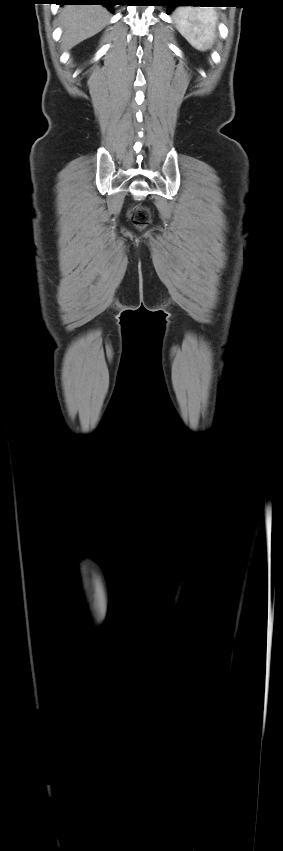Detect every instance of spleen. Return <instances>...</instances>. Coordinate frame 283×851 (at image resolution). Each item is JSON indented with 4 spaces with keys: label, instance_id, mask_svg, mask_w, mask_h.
<instances>
[{
    "label": "spleen",
    "instance_id": "1",
    "mask_svg": "<svg viewBox=\"0 0 283 851\" xmlns=\"http://www.w3.org/2000/svg\"><path fill=\"white\" fill-rule=\"evenodd\" d=\"M176 27L197 50L207 51L214 43L218 16L213 8L180 7L174 12Z\"/></svg>",
    "mask_w": 283,
    "mask_h": 851
}]
</instances>
